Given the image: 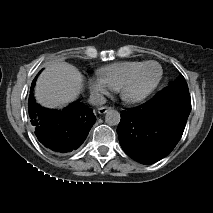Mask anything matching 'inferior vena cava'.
Masks as SVG:
<instances>
[{"instance_id": "inferior-vena-cava-1", "label": "inferior vena cava", "mask_w": 213, "mask_h": 213, "mask_svg": "<svg viewBox=\"0 0 213 213\" xmlns=\"http://www.w3.org/2000/svg\"><path fill=\"white\" fill-rule=\"evenodd\" d=\"M106 101V98L100 93H92L89 97V103L97 106L105 104Z\"/></svg>"}]
</instances>
